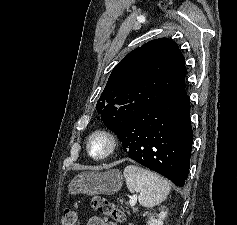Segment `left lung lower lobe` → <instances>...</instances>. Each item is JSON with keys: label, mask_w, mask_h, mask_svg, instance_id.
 <instances>
[{"label": "left lung lower lobe", "mask_w": 237, "mask_h": 225, "mask_svg": "<svg viewBox=\"0 0 237 225\" xmlns=\"http://www.w3.org/2000/svg\"><path fill=\"white\" fill-rule=\"evenodd\" d=\"M117 136L131 159L183 187L193 143L186 90L141 111Z\"/></svg>", "instance_id": "left-lung-lower-lobe-1"}]
</instances>
